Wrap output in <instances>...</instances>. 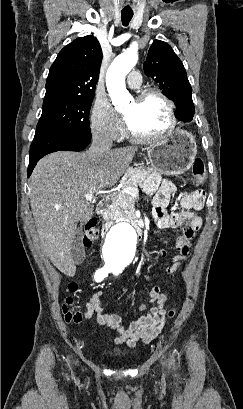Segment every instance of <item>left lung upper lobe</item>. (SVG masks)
Masks as SVG:
<instances>
[{
	"mask_svg": "<svg viewBox=\"0 0 243 409\" xmlns=\"http://www.w3.org/2000/svg\"><path fill=\"white\" fill-rule=\"evenodd\" d=\"M143 68L148 77L159 83L163 94L174 101L177 117L185 122L191 121L195 113L192 88L173 49L166 42L154 40Z\"/></svg>",
	"mask_w": 243,
	"mask_h": 409,
	"instance_id": "obj_1",
	"label": "left lung upper lobe"
}]
</instances>
